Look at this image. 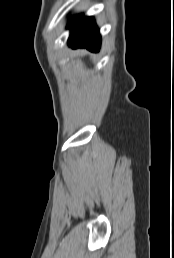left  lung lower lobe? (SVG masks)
Here are the masks:
<instances>
[{"label": "left lung lower lobe", "mask_w": 174, "mask_h": 258, "mask_svg": "<svg viewBox=\"0 0 174 258\" xmlns=\"http://www.w3.org/2000/svg\"><path fill=\"white\" fill-rule=\"evenodd\" d=\"M68 27L71 29L69 46L72 48L86 47L93 52L99 51L101 37L92 17L76 16L71 19Z\"/></svg>", "instance_id": "left-lung-lower-lobe-1"}]
</instances>
